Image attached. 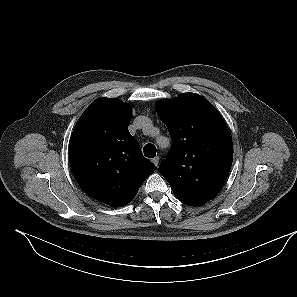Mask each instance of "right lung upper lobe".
Segmentation results:
<instances>
[{"label":"right lung upper lobe","mask_w":297,"mask_h":297,"mask_svg":"<svg viewBox=\"0 0 297 297\" xmlns=\"http://www.w3.org/2000/svg\"><path fill=\"white\" fill-rule=\"evenodd\" d=\"M131 107L118 99L100 98L84 111L69 143L75 179L90 197L112 207L128 204L155 171L129 133Z\"/></svg>","instance_id":"right-lung-upper-lobe-1"}]
</instances>
